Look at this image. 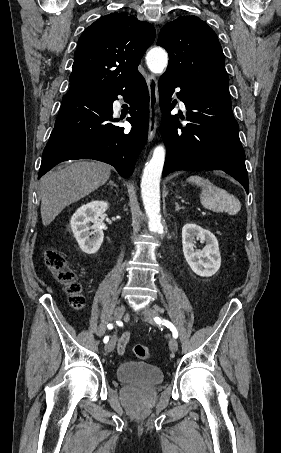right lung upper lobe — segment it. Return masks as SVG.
Wrapping results in <instances>:
<instances>
[{"instance_id":"obj_1","label":"right lung upper lobe","mask_w":281,"mask_h":453,"mask_svg":"<svg viewBox=\"0 0 281 453\" xmlns=\"http://www.w3.org/2000/svg\"><path fill=\"white\" fill-rule=\"evenodd\" d=\"M155 39L153 25L127 13H110L80 36L70 91L116 90L139 73L137 67Z\"/></svg>"}]
</instances>
